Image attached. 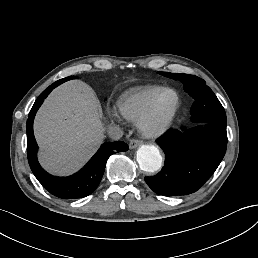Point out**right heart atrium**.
<instances>
[{
  "instance_id": "obj_1",
  "label": "right heart atrium",
  "mask_w": 258,
  "mask_h": 258,
  "mask_svg": "<svg viewBox=\"0 0 258 258\" xmlns=\"http://www.w3.org/2000/svg\"><path fill=\"white\" fill-rule=\"evenodd\" d=\"M107 119L108 121L114 122V123H122L123 121L122 114L115 108H110L107 111Z\"/></svg>"
}]
</instances>
